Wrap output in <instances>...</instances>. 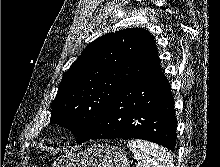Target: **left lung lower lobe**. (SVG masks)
I'll list each match as a JSON object with an SVG mask.
<instances>
[{
  "instance_id": "0a47b994",
  "label": "left lung lower lobe",
  "mask_w": 220,
  "mask_h": 167,
  "mask_svg": "<svg viewBox=\"0 0 220 167\" xmlns=\"http://www.w3.org/2000/svg\"><path fill=\"white\" fill-rule=\"evenodd\" d=\"M176 117L170 84L160 66L127 84L112 99L91 139L137 138L174 151Z\"/></svg>"
}]
</instances>
